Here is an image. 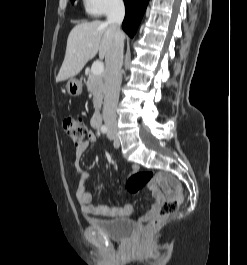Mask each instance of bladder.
Returning <instances> with one entry per match:
<instances>
[{"label":"bladder","instance_id":"bladder-1","mask_svg":"<svg viewBox=\"0 0 247 265\" xmlns=\"http://www.w3.org/2000/svg\"><path fill=\"white\" fill-rule=\"evenodd\" d=\"M88 224L108 238L116 241L128 240L135 230L134 222L126 218L89 219Z\"/></svg>","mask_w":247,"mask_h":265}]
</instances>
